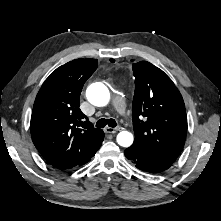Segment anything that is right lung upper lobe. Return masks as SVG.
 Masks as SVG:
<instances>
[{"label":"right lung upper lobe","mask_w":221,"mask_h":221,"mask_svg":"<svg viewBox=\"0 0 221 221\" xmlns=\"http://www.w3.org/2000/svg\"><path fill=\"white\" fill-rule=\"evenodd\" d=\"M97 59H76L57 68L41 86L31 116L37 150L53 167L67 170L89 160L100 148L104 132L93 127L79 109L85 81Z\"/></svg>","instance_id":"right-lung-upper-lobe-1"}]
</instances>
